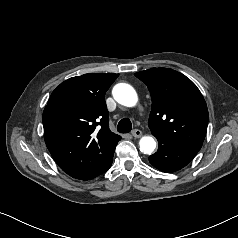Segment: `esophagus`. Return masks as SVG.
<instances>
[{"mask_svg":"<svg viewBox=\"0 0 238 238\" xmlns=\"http://www.w3.org/2000/svg\"><path fill=\"white\" fill-rule=\"evenodd\" d=\"M132 136L135 138H139L142 136V132L139 129H135L131 132Z\"/></svg>","mask_w":238,"mask_h":238,"instance_id":"obj_1","label":"esophagus"}]
</instances>
